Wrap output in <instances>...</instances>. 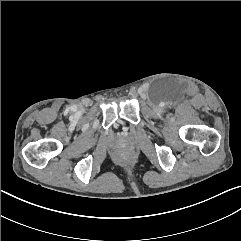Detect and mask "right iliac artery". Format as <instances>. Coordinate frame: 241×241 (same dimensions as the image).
<instances>
[{
  "label": "right iliac artery",
  "mask_w": 241,
  "mask_h": 241,
  "mask_svg": "<svg viewBox=\"0 0 241 241\" xmlns=\"http://www.w3.org/2000/svg\"><path fill=\"white\" fill-rule=\"evenodd\" d=\"M70 110H71L72 112H75V111H76V107H75V106H72V107L70 108Z\"/></svg>",
  "instance_id": "82829eb1"
}]
</instances>
